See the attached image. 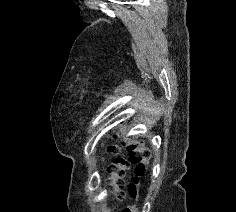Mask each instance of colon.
<instances>
[{
    "label": "colon",
    "instance_id": "1",
    "mask_svg": "<svg viewBox=\"0 0 236 212\" xmlns=\"http://www.w3.org/2000/svg\"><path fill=\"white\" fill-rule=\"evenodd\" d=\"M114 149H111L113 151ZM128 157L115 156L109 167L108 185L112 189V195L116 200H122L125 193L122 190L123 178L128 169V165L135 166V176L129 185V194L133 200L139 195V185L141 177L146 173L150 158V153L144 146L143 141L136 140L127 145ZM122 212H138L134 204L126 206Z\"/></svg>",
    "mask_w": 236,
    "mask_h": 212
}]
</instances>
